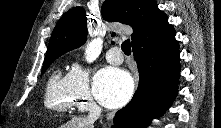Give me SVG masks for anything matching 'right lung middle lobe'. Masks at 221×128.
I'll use <instances>...</instances> for the list:
<instances>
[{"instance_id":"obj_1","label":"right lung middle lobe","mask_w":221,"mask_h":128,"mask_svg":"<svg viewBox=\"0 0 221 128\" xmlns=\"http://www.w3.org/2000/svg\"><path fill=\"white\" fill-rule=\"evenodd\" d=\"M57 58H50L48 60H44L43 67H42V73L50 66V64Z\"/></svg>"}]
</instances>
